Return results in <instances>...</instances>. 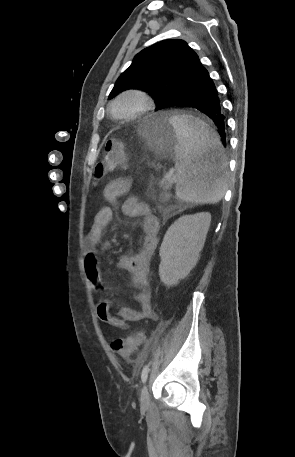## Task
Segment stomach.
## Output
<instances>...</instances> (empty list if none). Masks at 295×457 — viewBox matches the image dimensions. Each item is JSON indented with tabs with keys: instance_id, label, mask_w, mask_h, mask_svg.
I'll return each instance as SVG.
<instances>
[{
	"instance_id": "obj_1",
	"label": "stomach",
	"mask_w": 295,
	"mask_h": 457,
	"mask_svg": "<svg viewBox=\"0 0 295 457\" xmlns=\"http://www.w3.org/2000/svg\"><path fill=\"white\" fill-rule=\"evenodd\" d=\"M140 133L153 149L163 146L175 147L178 144L176 131L170 118L164 115H150L140 125Z\"/></svg>"
}]
</instances>
